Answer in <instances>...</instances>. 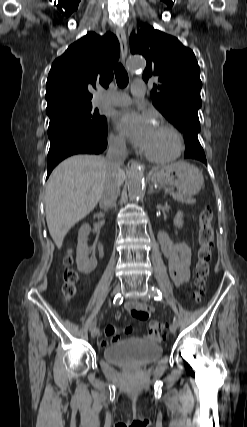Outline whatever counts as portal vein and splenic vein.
Instances as JSON below:
<instances>
[{"label":"portal vein and splenic vein","instance_id":"1","mask_svg":"<svg viewBox=\"0 0 247 427\" xmlns=\"http://www.w3.org/2000/svg\"><path fill=\"white\" fill-rule=\"evenodd\" d=\"M166 192H168V193H170V194H172V195H173V193H172L171 191H169V190H167Z\"/></svg>","mask_w":247,"mask_h":427}]
</instances>
